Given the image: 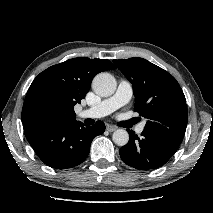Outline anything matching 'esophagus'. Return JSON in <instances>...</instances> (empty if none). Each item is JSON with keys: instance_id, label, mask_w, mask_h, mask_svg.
I'll return each mask as SVG.
<instances>
[{"instance_id": "1", "label": "esophagus", "mask_w": 213, "mask_h": 213, "mask_svg": "<svg viewBox=\"0 0 213 213\" xmlns=\"http://www.w3.org/2000/svg\"><path fill=\"white\" fill-rule=\"evenodd\" d=\"M116 129H117V127L114 126V125L107 124V126H106V130L109 131V132H113Z\"/></svg>"}]
</instances>
